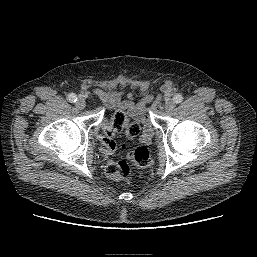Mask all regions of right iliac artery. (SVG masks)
<instances>
[{"label":"right iliac artery","mask_w":257,"mask_h":257,"mask_svg":"<svg viewBox=\"0 0 257 257\" xmlns=\"http://www.w3.org/2000/svg\"><path fill=\"white\" fill-rule=\"evenodd\" d=\"M68 100L69 102L74 103L77 101V96L74 93H71L68 95Z\"/></svg>","instance_id":"82829eb1"}]
</instances>
